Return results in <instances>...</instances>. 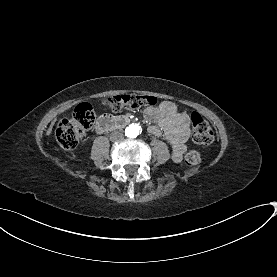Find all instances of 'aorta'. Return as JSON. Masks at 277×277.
I'll return each mask as SVG.
<instances>
[{
    "label": "aorta",
    "instance_id": "762f6f07",
    "mask_svg": "<svg viewBox=\"0 0 277 277\" xmlns=\"http://www.w3.org/2000/svg\"><path fill=\"white\" fill-rule=\"evenodd\" d=\"M141 133V126L139 124H130L125 129V134L129 138H136Z\"/></svg>",
    "mask_w": 277,
    "mask_h": 277
}]
</instances>
